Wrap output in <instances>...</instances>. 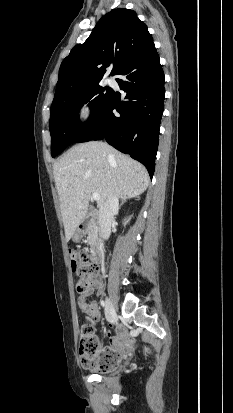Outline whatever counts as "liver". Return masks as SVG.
Instances as JSON below:
<instances>
[{"label": "liver", "mask_w": 233, "mask_h": 413, "mask_svg": "<svg viewBox=\"0 0 233 413\" xmlns=\"http://www.w3.org/2000/svg\"><path fill=\"white\" fill-rule=\"evenodd\" d=\"M66 241L86 216L93 193L99 209L110 194L122 200L142 194L149 185L146 168L105 142L92 141L70 148L53 165Z\"/></svg>", "instance_id": "obj_1"}]
</instances>
